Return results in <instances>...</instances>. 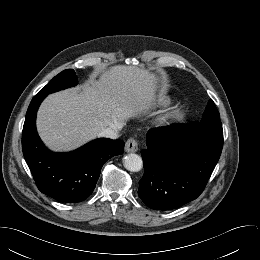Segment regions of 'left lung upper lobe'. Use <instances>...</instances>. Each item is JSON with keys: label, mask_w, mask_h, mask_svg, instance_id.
Instances as JSON below:
<instances>
[{"label": "left lung upper lobe", "mask_w": 260, "mask_h": 260, "mask_svg": "<svg viewBox=\"0 0 260 260\" xmlns=\"http://www.w3.org/2000/svg\"><path fill=\"white\" fill-rule=\"evenodd\" d=\"M213 100H209L206 110L200 122L193 121L192 125L199 128L222 130V124Z\"/></svg>", "instance_id": "1"}]
</instances>
